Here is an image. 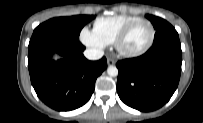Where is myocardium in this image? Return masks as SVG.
<instances>
[{
	"mask_svg": "<svg viewBox=\"0 0 203 123\" xmlns=\"http://www.w3.org/2000/svg\"><path fill=\"white\" fill-rule=\"evenodd\" d=\"M139 23H146L149 25V27L151 29L150 39L143 48L136 50V51H128L123 47V44H124L127 36L129 35V33L131 32V30ZM155 35H156V30H155L153 23L147 19L140 18V19H137V20L131 22L130 24H128L119 33V35L116 37L113 44H114V47H115L117 53L120 56L125 57V58H134V57H138V56L145 54L152 47L154 40H155Z\"/></svg>",
	"mask_w": 203,
	"mask_h": 123,
	"instance_id": "1",
	"label": "myocardium"
}]
</instances>
